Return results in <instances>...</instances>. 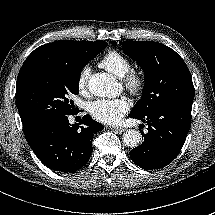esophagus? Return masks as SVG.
I'll use <instances>...</instances> for the list:
<instances>
[{"label": "esophagus", "instance_id": "1", "mask_svg": "<svg viewBox=\"0 0 215 215\" xmlns=\"http://www.w3.org/2000/svg\"><path fill=\"white\" fill-rule=\"evenodd\" d=\"M113 129H115L118 132H124L126 129L123 127H112Z\"/></svg>", "mask_w": 215, "mask_h": 215}]
</instances>
